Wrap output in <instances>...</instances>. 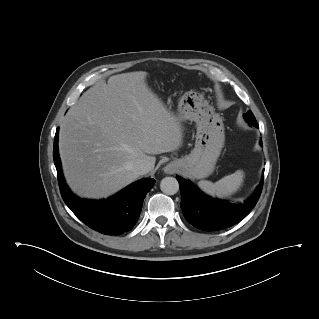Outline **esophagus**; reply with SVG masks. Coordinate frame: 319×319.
<instances>
[{"instance_id":"obj_1","label":"esophagus","mask_w":319,"mask_h":319,"mask_svg":"<svg viewBox=\"0 0 319 319\" xmlns=\"http://www.w3.org/2000/svg\"><path fill=\"white\" fill-rule=\"evenodd\" d=\"M164 171L166 172V173H172L173 171L170 169V168H168V167H165L164 168Z\"/></svg>"}]
</instances>
